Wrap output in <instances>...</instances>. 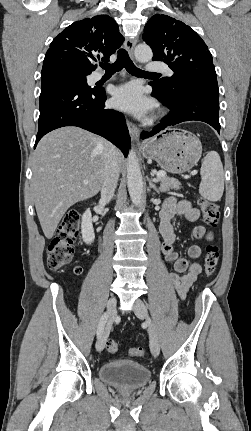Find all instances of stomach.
I'll return each mask as SVG.
<instances>
[{"label":"stomach","instance_id":"0dacf381","mask_svg":"<svg viewBox=\"0 0 251 431\" xmlns=\"http://www.w3.org/2000/svg\"><path fill=\"white\" fill-rule=\"evenodd\" d=\"M142 154L155 160L163 170L181 174L199 161L202 145L191 132L170 128L151 138L144 145Z\"/></svg>","mask_w":251,"mask_h":431}]
</instances>
